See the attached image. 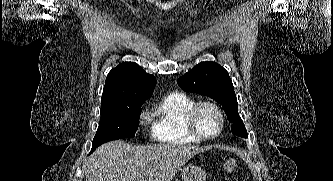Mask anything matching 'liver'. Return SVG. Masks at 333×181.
Masks as SVG:
<instances>
[{
	"mask_svg": "<svg viewBox=\"0 0 333 181\" xmlns=\"http://www.w3.org/2000/svg\"><path fill=\"white\" fill-rule=\"evenodd\" d=\"M191 145H137L111 141L85 164L86 181H171L191 157L205 151Z\"/></svg>",
	"mask_w": 333,
	"mask_h": 181,
	"instance_id": "6515ba94",
	"label": "liver"
}]
</instances>
